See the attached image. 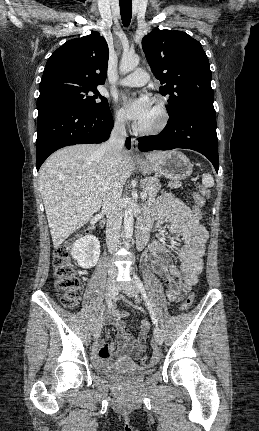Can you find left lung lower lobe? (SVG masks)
Segmentation results:
<instances>
[{
    "instance_id": "obj_1",
    "label": "left lung lower lobe",
    "mask_w": 259,
    "mask_h": 431,
    "mask_svg": "<svg viewBox=\"0 0 259 431\" xmlns=\"http://www.w3.org/2000/svg\"><path fill=\"white\" fill-rule=\"evenodd\" d=\"M139 150H171L184 148L206 156L216 172L219 169L216 116L204 109L187 108L169 115L164 130L154 136L139 138Z\"/></svg>"
}]
</instances>
